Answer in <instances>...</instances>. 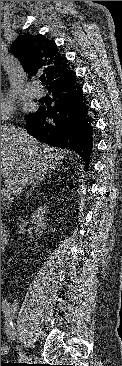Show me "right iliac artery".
Here are the masks:
<instances>
[{
  "instance_id": "1",
  "label": "right iliac artery",
  "mask_w": 122,
  "mask_h": 366,
  "mask_svg": "<svg viewBox=\"0 0 122 366\" xmlns=\"http://www.w3.org/2000/svg\"><path fill=\"white\" fill-rule=\"evenodd\" d=\"M2 311L4 313L5 316V329H6V333L7 335L10 336V339L14 338V326L12 323V320L10 318V314L12 312V308L10 303L7 300H4L2 302ZM21 355V354H20Z\"/></svg>"
}]
</instances>
